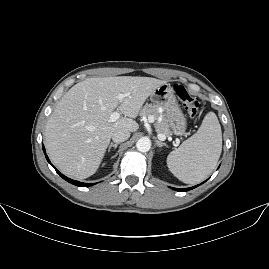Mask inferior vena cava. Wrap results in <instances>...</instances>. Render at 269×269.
Returning a JSON list of instances; mask_svg holds the SVG:
<instances>
[{
	"label": "inferior vena cava",
	"mask_w": 269,
	"mask_h": 269,
	"mask_svg": "<svg viewBox=\"0 0 269 269\" xmlns=\"http://www.w3.org/2000/svg\"><path fill=\"white\" fill-rule=\"evenodd\" d=\"M129 137H130L129 131L119 129L113 133L112 140L115 143H121L127 141Z\"/></svg>",
	"instance_id": "obj_1"
}]
</instances>
